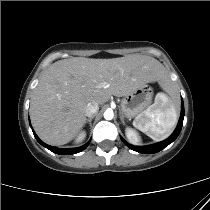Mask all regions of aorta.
Wrapping results in <instances>:
<instances>
[{
	"instance_id": "762f6f07",
	"label": "aorta",
	"mask_w": 210,
	"mask_h": 210,
	"mask_svg": "<svg viewBox=\"0 0 210 210\" xmlns=\"http://www.w3.org/2000/svg\"><path fill=\"white\" fill-rule=\"evenodd\" d=\"M113 117H114V113L111 109H108L104 112V118L106 120H111V119H113Z\"/></svg>"
}]
</instances>
